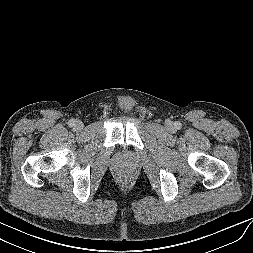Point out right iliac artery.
<instances>
[{"mask_svg":"<svg viewBox=\"0 0 253 253\" xmlns=\"http://www.w3.org/2000/svg\"><path fill=\"white\" fill-rule=\"evenodd\" d=\"M74 125H75V120L74 119L69 120V126L73 127Z\"/></svg>","mask_w":253,"mask_h":253,"instance_id":"obj_1","label":"right iliac artery"}]
</instances>
